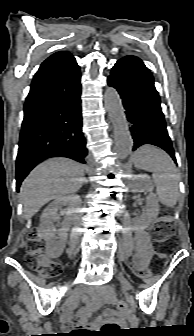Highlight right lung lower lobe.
Instances as JSON below:
<instances>
[{"mask_svg":"<svg viewBox=\"0 0 194 336\" xmlns=\"http://www.w3.org/2000/svg\"><path fill=\"white\" fill-rule=\"evenodd\" d=\"M80 68L77 63L32 81L24 105L16 162L17 191L41 161L65 156L85 163Z\"/></svg>","mask_w":194,"mask_h":336,"instance_id":"1","label":"right lung lower lobe"}]
</instances>
